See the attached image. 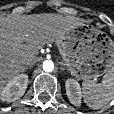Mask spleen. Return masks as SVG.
I'll return each instance as SVG.
<instances>
[{"label":"spleen","instance_id":"3e777b00","mask_svg":"<svg viewBox=\"0 0 114 114\" xmlns=\"http://www.w3.org/2000/svg\"><path fill=\"white\" fill-rule=\"evenodd\" d=\"M83 99L86 105L92 109H100L114 99V67L110 69L101 83L92 81L83 83Z\"/></svg>","mask_w":114,"mask_h":114}]
</instances>
